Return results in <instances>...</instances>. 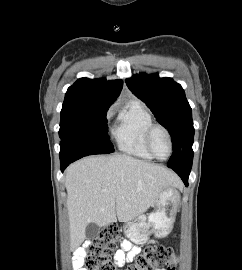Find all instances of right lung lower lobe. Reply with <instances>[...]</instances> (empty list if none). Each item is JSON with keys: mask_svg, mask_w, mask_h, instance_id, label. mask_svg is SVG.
<instances>
[{"mask_svg": "<svg viewBox=\"0 0 242 270\" xmlns=\"http://www.w3.org/2000/svg\"><path fill=\"white\" fill-rule=\"evenodd\" d=\"M73 162L72 160H68V161H63L61 162V171L63 172L65 170V168L71 163Z\"/></svg>", "mask_w": 242, "mask_h": 270, "instance_id": "98d812e1", "label": "right lung lower lobe"}]
</instances>
